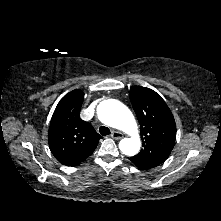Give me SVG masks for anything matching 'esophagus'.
I'll return each mask as SVG.
<instances>
[{
	"instance_id": "34e87169",
	"label": "esophagus",
	"mask_w": 221,
	"mask_h": 221,
	"mask_svg": "<svg viewBox=\"0 0 221 221\" xmlns=\"http://www.w3.org/2000/svg\"><path fill=\"white\" fill-rule=\"evenodd\" d=\"M111 137L113 139H117L118 140V139H121L123 137V134L120 131L113 130L111 132Z\"/></svg>"
}]
</instances>
